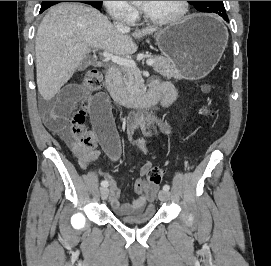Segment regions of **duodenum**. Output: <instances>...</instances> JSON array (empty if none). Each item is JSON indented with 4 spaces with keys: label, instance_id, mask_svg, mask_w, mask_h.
Returning a JSON list of instances; mask_svg holds the SVG:
<instances>
[{
    "label": "duodenum",
    "instance_id": "duodenum-1",
    "mask_svg": "<svg viewBox=\"0 0 271 266\" xmlns=\"http://www.w3.org/2000/svg\"><path fill=\"white\" fill-rule=\"evenodd\" d=\"M106 87L118 104H132L141 109L156 105L167 94L162 85L151 83L150 89L145 95L140 97L129 95L121 85L120 71L117 67H112L107 72Z\"/></svg>",
    "mask_w": 271,
    "mask_h": 266
}]
</instances>
